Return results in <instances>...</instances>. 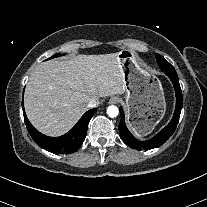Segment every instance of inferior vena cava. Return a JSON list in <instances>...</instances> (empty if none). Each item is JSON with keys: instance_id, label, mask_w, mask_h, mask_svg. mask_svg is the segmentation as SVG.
<instances>
[{"instance_id": "602c4592", "label": "inferior vena cava", "mask_w": 207, "mask_h": 207, "mask_svg": "<svg viewBox=\"0 0 207 207\" xmlns=\"http://www.w3.org/2000/svg\"><path fill=\"white\" fill-rule=\"evenodd\" d=\"M99 105V100L95 99V98H92L90 99V101L88 102L87 104V107L89 108H94V107H97Z\"/></svg>"}]
</instances>
